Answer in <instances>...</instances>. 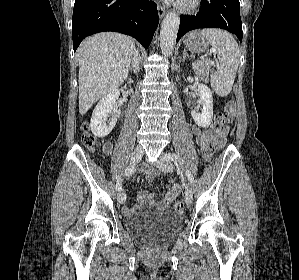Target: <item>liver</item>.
<instances>
[{"mask_svg": "<svg viewBox=\"0 0 299 280\" xmlns=\"http://www.w3.org/2000/svg\"><path fill=\"white\" fill-rule=\"evenodd\" d=\"M135 51L130 37L113 32L95 34L80 45L77 57L81 115L124 82Z\"/></svg>", "mask_w": 299, "mask_h": 280, "instance_id": "liver-1", "label": "liver"}]
</instances>
